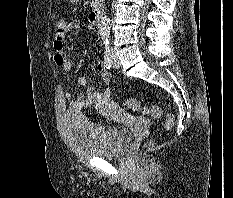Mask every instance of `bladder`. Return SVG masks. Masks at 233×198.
Here are the masks:
<instances>
[{
	"label": "bladder",
	"mask_w": 233,
	"mask_h": 198,
	"mask_svg": "<svg viewBox=\"0 0 233 198\" xmlns=\"http://www.w3.org/2000/svg\"><path fill=\"white\" fill-rule=\"evenodd\" d=\"M66 131L75 151L88 156L120 157L132 139L130 131L96 124L77 111L66 114Z\"/></svg>",
	"instance_id": "31cf9c89"
}]
</instances>
